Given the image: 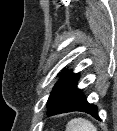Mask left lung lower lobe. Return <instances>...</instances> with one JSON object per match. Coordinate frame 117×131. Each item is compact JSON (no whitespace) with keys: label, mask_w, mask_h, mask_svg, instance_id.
<instances>
[{"label":"left lung lower lobe","mask_w":117,"mask_h":131,"mask_svg":"<svg viewBox=\"0 0 117 131\" xmlns=\"http://www.w3.org/2000/svg\"><path fill=\"white\" fill-rule=\"evenodd\" d=\"M71 111L86 112L94 118L99 119L97 107L93 104H89L80 91L76 93L74 101L65 109L63 113Z\"/></svg>","instance_id":"left-lung-lower-lobe-1"}]
</instances>
